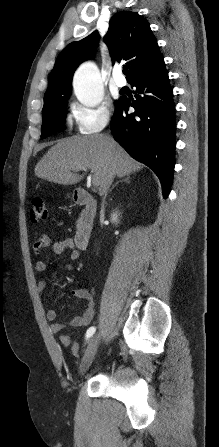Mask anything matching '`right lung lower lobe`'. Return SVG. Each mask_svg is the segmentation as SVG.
Here are the masks:
<instances>
[{
  "instance_id": "1",
  "label": "right lung lower lobe",
  "mask_w": 219,
  "mask_h": 447,
  "mask_svg": "<svg viewBox=\"0 0 219 447\" xmlns=\"http://www.w3.org/2000/svg\"><path fill=\"white\" fill-rule=\"evenodd\" d=\"M137 93L132 103L126 97L116 102L111 121L115 140L136 160L159 177L164 198L170 192L175 165L176 116L173 90L164 60L131 83ZM135 109L128 113L129 107Z\"/></svg>"
}]
</instances>
